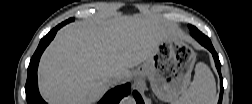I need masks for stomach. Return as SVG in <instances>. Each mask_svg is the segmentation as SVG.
<instances>
[{"instance_id":"obj_1","label":"stomach","mask_w":252,"mask_h":104,"mask_svg":"<svg viewBox=\"0 0 252 104\" xmlns=\"http://www.w3.org/2000/svg\"><path fill=\"white\" fill-rule=\"evenodd\" d=\"M195 60L193 49L171 33L159 43L135 74L149 79L153 92L160 100L175 103L190 83Z\"/></svg>"}]
</instances>
